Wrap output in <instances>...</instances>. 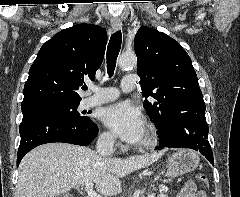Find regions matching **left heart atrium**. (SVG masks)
Listing matches in <instances>:
<instances>
[{"label":"left heart atrium","mask_w":240,"mask_h":197,"mask_svg":"<svg viewBox=\"0 0 240 197\" xmlns=\"http://www.w3.org/2000/svg\"><path fill=\"white\" fill-rule=\"evenodd\" d=\"M101 119L108 128L126 142L137 143L145 134L143 114L129 102H119L105 108Z\"/></svg>","instance_id":"1"}]
</instances>
